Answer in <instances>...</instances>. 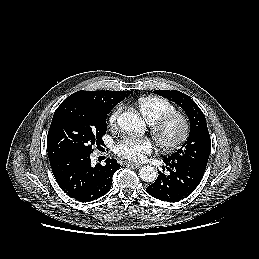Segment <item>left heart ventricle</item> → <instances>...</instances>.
<instances>
[{
  "mask_svg": "<svg viewBox=\"0 0 259 259\" xmlns=\"http://www.w3.org/2000/svg\"><path fill=\"white\" fill-rule=\"evenodd\" d=\"M179 133V125L178 123L174 122L167 126L165 129L164 135L167 140L174 139Z\"/></svg>",
  "mask_w": 259,
  "mask_h": 259,
  "instance_id": "obj_1",
  "label": "left heart ventricle"
}]
</instances>
